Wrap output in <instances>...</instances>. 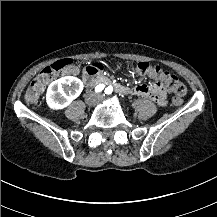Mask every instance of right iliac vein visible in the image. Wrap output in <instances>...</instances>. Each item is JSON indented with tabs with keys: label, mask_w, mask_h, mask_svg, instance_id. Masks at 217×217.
<instances>
[{
	"label": "right iliac vein",
	"mask_w": 217,
	"mask_h": 217,
	"mask_svg": "<svg viewBox=\"0 0 217 217\" xmlns=\"http://www.w3.org/2000/svg\"><path fill=\"white\" fill-rule=\"evenodd\" d=\"M90 95L93 96L92 93H91ZM86 102H87V104H89V105H92V104H93V100H92L90 97H88V98L86 99Z\"/></svg>",
	"instance_id": "63e3f726"
}]
</instances>
